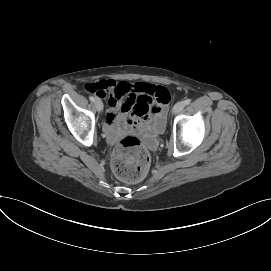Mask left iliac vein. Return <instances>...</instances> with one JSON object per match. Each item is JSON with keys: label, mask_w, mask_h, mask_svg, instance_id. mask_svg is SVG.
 <instances>
[{"label": "left iliac vein", "mask_w": 271, "mask_h": 271, "mask_svg": "<svg viewBox=\"0 0 271 271\" xmlns=\"http://www.w3.org/2000/svg\"><path fill=\"white\" fill-rule=\"evenodd\" d=\"M184 107H185V104H184L183 101L177 102V103L174 105V107H173V109H172V112H173L174 114H178V113H180V112L183 110Z\"/></svg>", "instance_id": "left-iliac-vein-1"}]
</instances>
